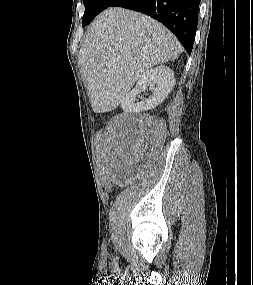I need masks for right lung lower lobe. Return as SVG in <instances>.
Listing matches in <instances>:
<instances>
[{
  "label": "right lung lower lobe",
  "mask_w": 253,
  "mask_h": 285,
  "mask_svg": "<svg viewBox=\"0 0 253 285\" xmlns=\"http://www.w3.org/2000/svg\"><path fill=\"white\" fill-rule=\"evenodd\" d=\"M200 0H115L118 6L147 14L164 24L191 54Z\"/></svg>",
  "instance_id": "98d812e1"
}]
</instances>
